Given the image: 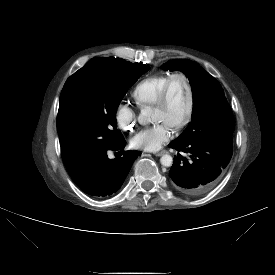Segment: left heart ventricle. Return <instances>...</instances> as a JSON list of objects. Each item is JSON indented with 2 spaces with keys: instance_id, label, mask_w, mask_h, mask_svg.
Here are the masks:
<instances>
[{
  "instance_id": "b2bd125f",
  "label": "left heart ventricle",
  "mask_w": 275,
  "mask_h": 275,
  "mask_svg": "<svg viewBox=\"0 0 275 275\" xmlns=\"http://www.w3.org/2000/svg\"><path fill=\"white\" fill-rule=\"evenodd\" d=\"M188 105V91L184 81L176 78L173 82L169 102L163 108L154 107L153 120L165 122L173 127L181 120L186 112Z\"/></svg>"
}]
</instances>
